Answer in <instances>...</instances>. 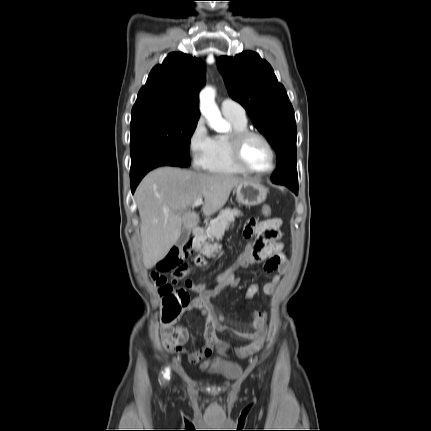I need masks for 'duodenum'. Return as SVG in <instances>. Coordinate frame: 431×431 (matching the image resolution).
<instances>
[{"label":"duodenum","mask_w":431,"mask_h":431,"mask_svg":"<svg viewBox=\"0 0 431 431\" xmlns=\"http://www.w3.org/2000/svg\"><path fill=\"white\" fill-rule=\"evenodd\" d=\"M203 236V229L201 227H194L191 233V241L193 243L199 242Z\"/></svg>","instance_id":"1"}]
</instances>
